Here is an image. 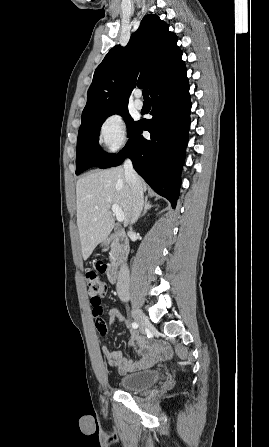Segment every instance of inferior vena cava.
Wrapping results in <instances>:
<instances>
[{
	"label": "inferior vena cava",
	"mask_w": 269,
	"mask_h": 447,
	"mask_svg": "<svg viewBox=\"0 0 269 447\" xmlns=\"http://www.w3.org/2000/svg\"><path fill=\"white\" fill-rule=\"evenodd\" d=\"M124 172L126 182H128L133 198V206H132V216L130 218V224H135L137 222L142 208L144 206V196H143V188L141 184V180L139 176H137L131 160H125L124 162ZM117 293L120 295H129L130 289V271L127 263H123L119 269L118 279L116 283Z\"/></svg>",
	"instance_id": "obj_1"
}]
</instances>
